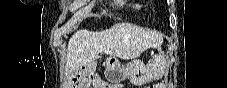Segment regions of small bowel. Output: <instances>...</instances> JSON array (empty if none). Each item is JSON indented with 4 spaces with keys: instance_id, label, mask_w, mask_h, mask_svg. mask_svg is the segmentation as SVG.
Listing matches in <instances>:
<instances>
[{
    "instance_id": "1",
    "label": "small bowel",
    "mask_w": 227,
    "mask_h": 88,
    "mask_svg": "<svg viewBox=\"0 0 227 88\" xmlns=\"http://www.w3.org/2000/svg\"><path fill=\"white\" fill-rule=\"evenodd\" d=\"M100 88H121L122 85L121 84H118V85H111V84H108V83H101L99 85Z\"/></svg>"
}]
</instances>
